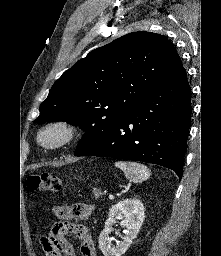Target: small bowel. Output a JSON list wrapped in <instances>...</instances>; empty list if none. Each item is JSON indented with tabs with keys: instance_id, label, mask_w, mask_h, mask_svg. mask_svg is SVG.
<instances>
[{
	"instance_id": "c3829d8e",
	"label": "small bowel",
	"mask_w": 221,
	"mask_h": 256,
	"mask_svg": "<svg viewBox=\"0 0 221 256\" xmlns=\"http://www.w3.org/2000/svg\"><path fill=\"white\" fill-rule=\"evenodd\" d=\"M92 205L59 206L56 214L63 221L49 227L46 236L40 239L44 256H76L75 249L67 239L69 234L80 241L81 256H96V250L86 222L92 215Z\"/></svg>"
}]
</instances>
